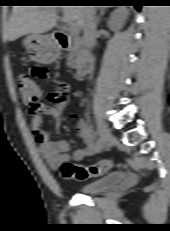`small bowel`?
Returning a JSON list of instances; mask_svg holds the SVG:
<instances>
[{"instance_id": "c3829d8e", "label": "small bowel", "mask_w": 170, "mask_h": 231, "mask_svg": "<svg viewBox=\"0 0 170 231\" xmlns=\"http://www.w3.org/2000/svg\"><path fill=\"white\" fill-rule=\"evenodd\" d=\"M31 77L37 80H55L58 82L57 88L49 93L50 104H40L37 109H30V125L34 138L39 146V153L47 165L56 169L64 162L81 161L87 156L98 152L99 146L95 141L89 127L83 119L77 122V131L83 139L85 146L69 153V144L64 140H50L46 131L41 128L44 115H49L54 119L55 129L58 132L61 128V115L67 106L66 86L63 82L53 79L49 71L40 65L31 69Z\"/></svg>"}]
</instances>
